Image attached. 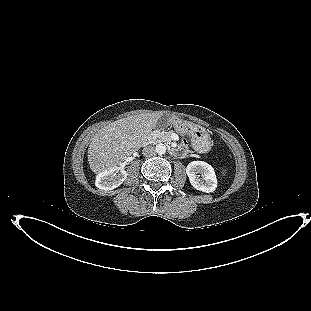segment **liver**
Instances as JSON below:
<instances>
[{
  "mask_svg": "<svg viewBox=\"0 0 311 311\" xmlns=\"http://www.w3.org/2000/svg\"><path fill=\"white\" fill-rule=\"evenodd\" d=\"M161 113L153 112L130 116L100 129L88 148L91 170L99 174L116 167L127 156L140 149L149 133L157 125Z\"/></svg>",
  "mask_w": 311,
  "mask_h": 311,
  "instance_id": "1",
  "label": "liver"
}]
</instances>
